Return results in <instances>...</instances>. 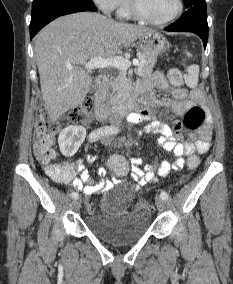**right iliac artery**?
<instances>
[{
    "mask_svg": "<svg viewBox=\"0 0 233 284\" xmlns=\"http://www.w3.org/2000/svg\"><path fill=\"white\" fill-rule=\"evenodd\" d=\"M117 131H118L117 128H115L113 126H106V127L98 128V129L92 131L89 134L88 140L90 142H95V141H98L99 139H101L102 137L116 134ZM71 198L72 199L78 198V193L72 192Z\"/></svg>",
    "mask_w": 233,
    "mask_h": 284,
    "instance_id": "82829eb1",
    "label": "right iliac artery"
}]
</instances>
